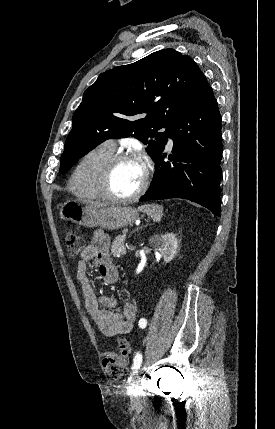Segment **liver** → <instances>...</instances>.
<instances>
[{
	"label": "liver",
	"mask_w": 275,
	"mask_h": 429,
	"mask_svg": "<svg viewBox=\"0 0 275 429\" xmlns=\"http://www.w3.org/2000/svg\"><path fill=\"white\" fill-rule=\"evenodd\" d=\"M91 206L95 207V208H99V207H103L105 205L103 204H98V203H92Z\"/></svg>",
	"instance_id": "obj_1"
}]
</instances>
